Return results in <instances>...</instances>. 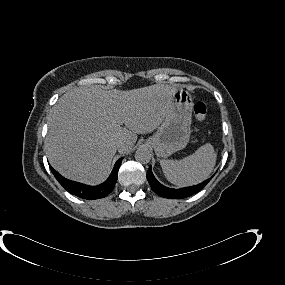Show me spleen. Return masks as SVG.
Segmentation results:
<instances>
[{
    "label": "spleen",
    "instance_id": "obj_1",
    "mask_svg": "<svg viewBox=\"0 0 285 285\" xmlns=\"http://www.w3.org/2000/svg\"><path fill=\"white\" fill-rule=\"evenodd\" d=\"M217 153L207 143L182 160H160L163 173L168 181L177 186H190L203 182L213 171Z\"/></svg>",
    "mask_w": 285,
    "mask_h": 285
}]
</instances>
